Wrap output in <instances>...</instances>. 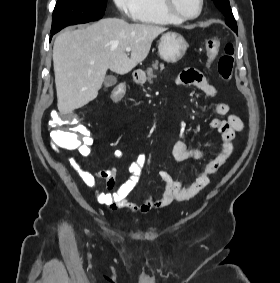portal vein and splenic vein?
<instances>
[{"mask_svg":"<svg viewBox=\"0 0 280 283\" xmlns=\"http://www.w3.org/2000/svg\"><path fill=\"white\" fill-rule=\"evenodd\" d=\"M125 51L126 52H130L131 51V47H126Z\"/></svg>","mask_w":280,"mask_h":283,"instance_id":"1","label":"portal vein and splenic vein"}]
</instances>
